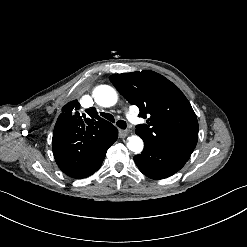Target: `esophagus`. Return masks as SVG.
I'll list each match as a JSON object with an SVG mask.
<instances>
[{
	"mask_svg": "<svg viewBox=\"0 0 247 247\" xmlns=\"http://www.w3.org/2000/svg\"><path fill=\"white\" fill-rule=\"evenodd\" d=\"M128 135L127 130H119V137L120 138H125Z\"/></svg>",
	"mask_w": 247,
	"mask_h": 247,
	"instance_id": "34e87169",
	"label": "esophagus"
}]
</instances>
